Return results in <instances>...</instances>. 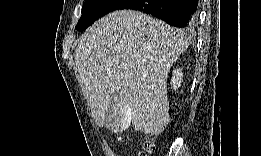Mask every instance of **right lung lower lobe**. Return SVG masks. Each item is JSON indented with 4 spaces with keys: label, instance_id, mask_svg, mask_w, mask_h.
<instances>
[{
    "label": "right lung lower lobe",
    "instance_id": "1",
    "mask_svg": "<svg viewBox=\"0 0 261 156\" xmlns=\"http://www.w3.org/2000/svg\"><path fill=\"white\" fill-rule=\"evenodd\" d=\"M198 0H129L119 9L139 10L166 23L190 28L196 20Z\"/></svg>",
    "mask_w": 261,
    "mask_h": 156
}]
</instances>
